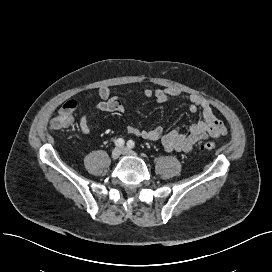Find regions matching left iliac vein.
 I'll return each instance as SVG.
<instances>
[{
  "mask_svg": "<svg viewBox=\"0 0 272 272\" xmlns=\"http://www.w3.org/2000/svg\"><path fill=\"white\" fill-rule=\"evenodd\" d=\"M121 151H122V154H124V155L136 156V153H134L132 150H130L126 147H122Z\"/></svg>",
  "mask_w": 272,
  "mask_h": 272,
  "instance_id": "left-iliac-vein-1",
  "label": "left iliac vein"
}]
</instances>
